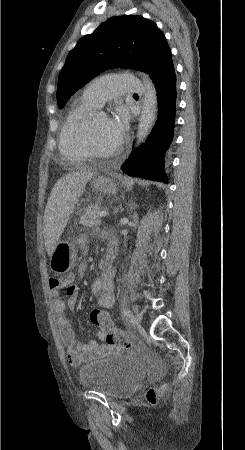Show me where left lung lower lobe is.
Wrapping results in <instances>:
<instances>
[{"label":"left lung lower lobe","mask_w":245,"mask_h":450,"mask_svg":"<svg viewBox=\"0 0 245 450\" xmlns=\"http://www.w3.org/2000/svg\"><path fill=\"white\" fill-rule=\"evenodd\" d=\"M151 79L157 92L158 118L140 154L130 155L122 165V170L130 176L167 183L164 153L173 136L176 102V76L172 59L159 68Z\"/></svg>","instance_id":"obj_1"}]
</instances>
